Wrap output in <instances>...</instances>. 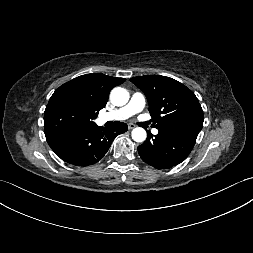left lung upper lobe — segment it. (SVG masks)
I'll return each instance as SVG.
<instances>
[{
  "label": "left lung upper lobe",
  "mask_w": 253,
  "mask_h": 253,
  "mask_svg": "<svg viewBox=\"0 0 253 253\" xmlns=\"http://www.w3.org/2000/svg\"><path fill=\"white\" fill-rule=\"evenodd\" d=\"M130 80L145 93L158 130L198 136L204 115L197 97L189 88L160 75L137 76Z\"/></svg>",
  "instance_id": "1"
}]
</instances>
